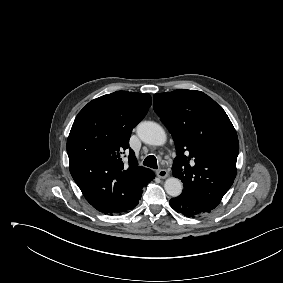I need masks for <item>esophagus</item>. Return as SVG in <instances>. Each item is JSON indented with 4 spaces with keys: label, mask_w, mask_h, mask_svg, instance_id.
Wrapping results in <instances>:
<instances>
[{
    "label": "esophagus",
    "mask_w": 283,
    "mask_h": 283,
    "mask_svg": "<svg viewBox=\"0 0 283 283\" xmlns=\"http://www.w3.org/2000/svg\"><path fill=\"white\" fill-rule=\"evenodd\" d=\"M169 173L166 169H159L157 170V176L160 178H166L168 177Z\"/></svg>",
    "instance_id": "esophagus-1"
}]
</instances>
